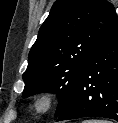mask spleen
<instances>
[{"mask_svg": "<svg viewBox=\"0 0 118 123\" xmlns=\"http://www.w3.org/2000/svg\"><path fill=\"white\" fill-rule=\"evenodd\" d=\"M83 123H112V122L107 120H85L83 121Z\"/></svg>", "mask_w": 118, "mask_h": 123, "instance_id": "spleen-1", "label": "spleen"}]
</instances>
